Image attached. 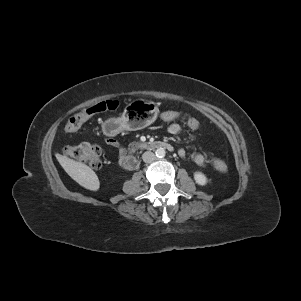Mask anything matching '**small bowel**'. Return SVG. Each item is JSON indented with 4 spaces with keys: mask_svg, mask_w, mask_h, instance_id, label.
Here are the masks:
<instances>
[{
    "mask_svg": "<svg viewBox=\"0 0 301 301\" xmlns=\"http://www.w3.org/2000/svg\"><path fill=\"white\" fill-rule=\"evenodd\" d=\"M161 118L166 122H170V124L167 126V132L169 134L176 135V134L180 133L181 126H180V124L175 122V120H177V119H168L165 117V114H163V113L161 114ZM105 141L107 144L116 148V150L118 152V156H119V161H120L126 154L125 148L118 141H116L110 137H107L105 139ZM178 154L180 157H185L187 152L185 149H180L178 151ZM192 161L200 167H204L206 165V158L200 153H194L192 155Z\"/></svg>",
    "mask_w": 301,
    "mask_h": 301,
    "instance_id": "c3829d8e",
    "label": "small bowel"
}]
</instances>
